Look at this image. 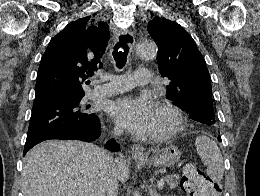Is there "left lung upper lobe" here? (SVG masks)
Listing matches in <instances>:
<instances>
[{"instance_id":"1","label":"left lung upper lobe","mask_w":260,"mask_h":196,"mask_svg":"<svg viewBox=\"0 0 260 196\" xmlns=\"http://www.w3.org/2000/svg\"><path fill=\"white\" fill-rule=\"evenodd\" d=\"M147 30L158 46L159 71L169 80L166 97L189 114L196 106L212 107L209 72L193 38L163 17L150 21ZM206 125L216 129V119Z\"/></svg>"}]
</instances>
